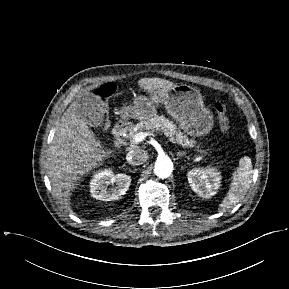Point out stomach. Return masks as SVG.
<instances>
[{"label":"stomach","instance_id":"1","mask_svg":"<svg viewBox=\"0 0 289 289\" xmlns=\"http://www.w3.org/2000/svg\"><path fill=\"white\" fill-rule=\"evenodd\" d=\"M159 104H164L168 114L190 136H205L214 125L213 114L205 107L200 91L187 84L175 85L163 92L156 91L149 98L140 95L132 105L122 109V114L147 120L156 114Z\"/></svg>","mask_w":289,"mask_h":289}]
</instances>
